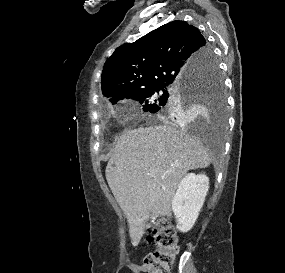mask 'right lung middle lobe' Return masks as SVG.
Listing matches in <instances>:
<instances>
[{
    "mask_svg": "<svg viewBox=\"0 0 285 273\" xmlns=\"http://www.w3.org/2000/svg\"><path fill=\"white\" fill-rule=\"evenodd\" d=\"M205 60L207 66L189 79V86L159 85L136 93L131 98L143 104L145 112L170 119H176L190 107L207 105L217 115V130L223 132L226 118L224 83L211 49L206 53Z\"/></svg>",
    "mask_w": 285,
    "mask_h": 273,
    "instance_id": "right-lung-middle-lobe-1",
    "label": "right lung middle lobe"
}]
</instances>
